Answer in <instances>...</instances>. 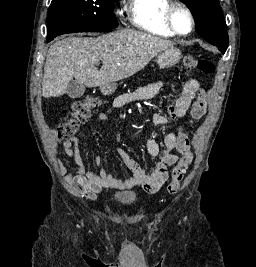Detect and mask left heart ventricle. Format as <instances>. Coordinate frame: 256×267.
<instances>
[{
    "label": "left heart ventricle",
    "instance_id": "obj_1",
    "mask_svg": "<svg viewBox=\"0 0 256 267\" xmlns=\"http://www.w3.org/2000/svg\"><path fill=\"white\" fill-rule=\"evenodd\" d=\"M173 20L180 32H187L190 29V20L188 15L178 7L173 9Z\"/></svg>",
    "mask_w": 256,
    "mask_h": 267
}]
</instances>
